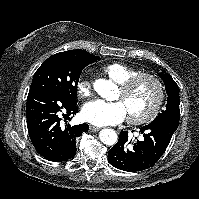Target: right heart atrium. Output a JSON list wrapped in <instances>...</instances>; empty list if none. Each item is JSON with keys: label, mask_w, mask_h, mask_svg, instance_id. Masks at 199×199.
<instances>
[{"label": "right heart atrium", "mask_w": 199, "mask_h": 199, "mask_svg": "<svg viewBox=\"0 0 199 199\" xmlns=\"http://www.w3.org/2000/svg\"><path fill=\"white\" fill-rule=\"evenodd\" d=\"M76 91L79 97H88L92 91V83L86 77H81L76 83Z\"/></svg>", "instance_id": "d8ad5b80"}]
</instances>
